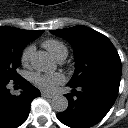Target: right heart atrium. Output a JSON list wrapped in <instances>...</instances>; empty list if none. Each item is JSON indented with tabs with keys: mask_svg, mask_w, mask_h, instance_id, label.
<instances>
[{
	"mask_svg": "<svg viewBox=\"0 0 128 128\" xmlns=\"http://www.w3.org/2000/svg\"><path fill=\"white\" fill-rule=\"evenodd\" d=\"M35 51L34 45H28L21 54V63L23 66L28 67L31 64V60Z\"/></svg>",
	"mask_w": 128,
	"mask_h": 128,
	"instance_id": "right-heart-atrium-1",
	"label": "right heart atrium"
}]
</instances>
